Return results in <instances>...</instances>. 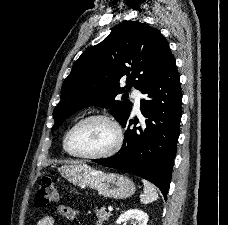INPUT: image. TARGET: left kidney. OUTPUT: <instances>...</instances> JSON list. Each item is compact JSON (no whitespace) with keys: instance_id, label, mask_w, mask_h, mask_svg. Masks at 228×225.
Instances as JSON below:
<instances>
[{"instance_id":"5707ae66","label":"left kidney","mask_w":228,"mask_h":225,"mask_svg":"<svg viewBox=\"0 0 228 225\" xmlns=\"http://www.w3.org/2000/svg\"><path fill=\"white\" fill-rule=\"evenodd\" d=\"M127 221H130V225H147L148 215L140 209H129V211L118 217L116 223L121 225V223H127Z\"/></svg>"}]
</instances>
